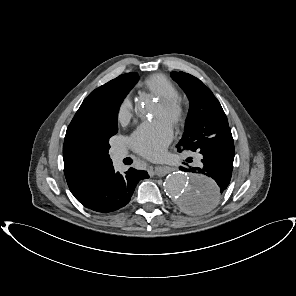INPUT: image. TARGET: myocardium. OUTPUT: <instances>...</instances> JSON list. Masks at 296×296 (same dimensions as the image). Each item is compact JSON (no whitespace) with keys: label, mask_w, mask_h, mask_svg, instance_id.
Returning <instances> with one entry per match:
<instances>
[{"label":"myocardium","mask_w":296,"mask_h":296,"mask_svg":"<svg viewBox=\"0 0 296 296\" xmlns=\"http://www.w3.org/2000/svg\"><path fill=\"white\" fill-rule=\"evenodd\" d=\"M160 104L164 108L166 119L174 126L183 123L186 116V108L179 97L163 98Z\"/></svg>","instance_id":"myocardium-1"}]
</instances>
